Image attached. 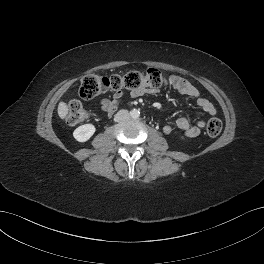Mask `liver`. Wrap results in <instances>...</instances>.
Returning a JSON list of instances; mask_svg holds the SVG:
<instances>
[{"instance_id": "liver-1", "label": "liver", "mask_w": 264, "mask_h": 264, "mask_svg": "<svg viewBox=\"0 0 264 264\" xmlns=\"http://www.w3.org/2000/svg\"><path fill=\"white\" fill-rule=\"evenodd\" d=\"M69 113V107L68 105L61 101L59 104H58V115L61 119H65L67 117Z\"/></svg>"}]
</instances>
